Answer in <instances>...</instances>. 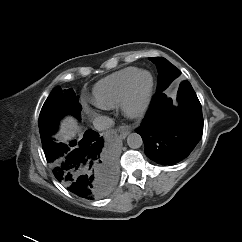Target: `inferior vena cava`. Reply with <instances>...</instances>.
I'll return each mask as SVG.
<instances>
[{"label": "inferior vena cava", "instance_id": "602c4592", "mask_svg": "<svg viewBox=\"0 0 242 242\" xmlns=\"http://www.w3.org/2000/svg\"><path fill=\"white\" fill-rule=\"evenodd\" d=\"M94 128L98 131L107 130L114 126V121L108 116H98L93 121Z\"/></svg>", "mask_w": 242, "mask_h": 242}]
</instances>
